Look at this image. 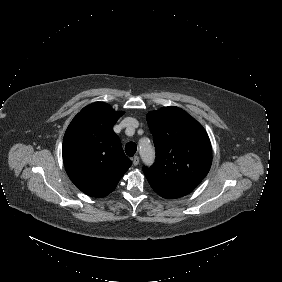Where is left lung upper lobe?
<instances>
[{
  "mask_svg": "<svg viewBox=\"0 0 282 282\" xmlns=\"http://www.w3.org/2000/svg\"><path fill=\"white\" fill-rule=\"evenodd\" d=\"M156 161L144 174L161 184L195 188L207 175L212 148L205 129L181 108L170 106L147 114Z\"/></svg>",
  "mask_w": 282,
  "mask_h": 282,
  "instance_id": "obj_1",
  "label": "left lung upper lobe"
}]
</instances>
